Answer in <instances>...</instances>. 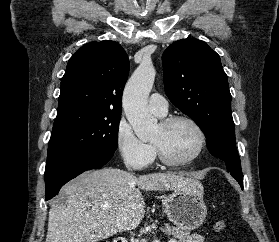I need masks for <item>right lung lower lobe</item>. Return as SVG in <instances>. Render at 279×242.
Listing matches in <instances>:
<instances>
[{
    "mask_svg": "<svg viewBox=\"0 0 279 242\" xmlns=\"http://www.w3.org/2000/svg\"><path fill=\"white\" fill-rule=\"evenodd\" d=\"M112 156L111 153H85L66 159L51 169L45 170V199L49 200L54 197L65 183L82 172L102 168Z\"/></svg>",
    "mask_w": 279,
    "mask_h": 242,
    "instance_id": "1",
    "label": "right lung lower lobe"
}]
</instances>
